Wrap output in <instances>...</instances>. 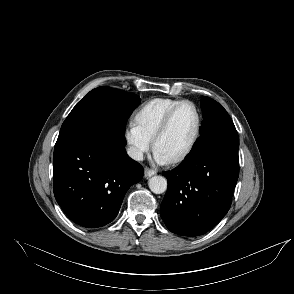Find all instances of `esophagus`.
Here are the masks:
<instances>
[{
    "mask_svg": "<svg viewBox=\"0 0 294 294\" xmlns=\"http://www.w3.org/2000/svg\"><path fill=\"white\" fill-rule=\"evenodd\" d=\"M155 174H156V171L153 170V169H150L148 167H146L144 169V177L147 178V179L150 178L151 176L155 175Z\"/></svg>",
    "mask_w": 294,
    "mask_h": 294,
    "instance_id": "1",
    "label": "esophagus"
}]
</instances>
